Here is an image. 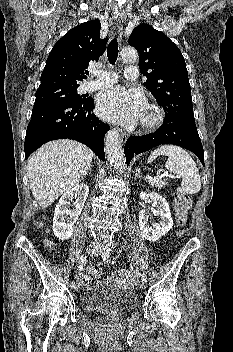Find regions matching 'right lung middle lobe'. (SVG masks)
Masks as SVG:
<instances>
[{
	"instance_id": "1",
	"label": "right lung middle lobe",
	"mask_w": 233,
	"mask_h": 352,
	"mask_svg": "<svg viewBox=\"0 0 233 352\" xmlns=\"http://www.w3.org/2000/svg\"><path fill=\"white\" fill-rule=\"evenodd\" d=\"M79 86L53 84L39 87L34 106L43 104L76 103L82 97L76 94Z\"/></svg>"
}]
</instances>
